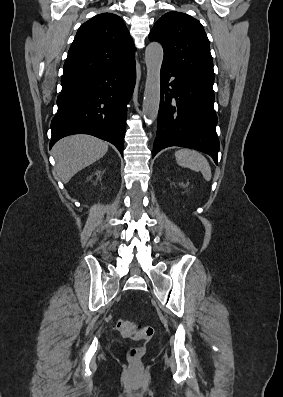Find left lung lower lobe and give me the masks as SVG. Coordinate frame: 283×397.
I'll list each match as a JSON object with an SVG mask.
<instances>
[{
    "instance_id": "obj_1",
    "label": "left lung lower lobe",
    "mask_w": 283,
    "mask_h": 397,
    "mask_svg": "<svg viewBox=\"0 0 283 397\" xmlns=\"http://www.w3.org/2000/svg\"><path fill=\"white\" fill-rule=\"evenodd\" d=\"M213 89L162 63L161 97L154 157L170 146L192 148L209 154L217 164L220 148Z\"/></svg>"
}]
</instances>
